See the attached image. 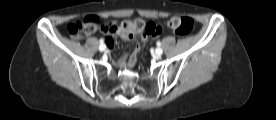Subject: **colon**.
<instances>
[{
  "label": "colon",
  "instance_id": "1",
  "mask_svg": "<svg viewBox=\"0 0 276 120\" xmlns=\"http://www.w3.org/2000/svg\"><path fill=\"white\" fill-rule=\"evenodd\" d=\"M167 27L181 36H187L194 29V22L190 17H172ZM104 33H118L123 38H132L135 35H142L153 38L160 34V28L152 22H145L142 19L124 20L119 23L102 20L98 16H89L81 21L72 22L67 26V33L73 39H78L82 34H92L96 31Z\"/></svg>",
  "mask_w": 276,
  "mask_h": 120
}]
</instances>
